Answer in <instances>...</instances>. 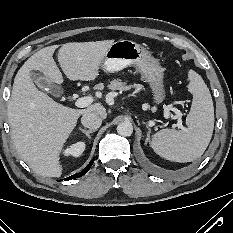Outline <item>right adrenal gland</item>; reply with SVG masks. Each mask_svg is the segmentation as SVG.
<instances>
[{
  "mask_svg": "<svg viewBox=\"0 0 233 233\" xmlns=\"http://www.w3.org/2000/svg\"><path fill=\"white\" fill-rule=\"evenodd\" d=\"M79 130H80L82 133H84V134L88 137V139H91L90 134L93 133V132H95V130H85V129H82L81 127L79 128Z\"/></svg>",
  "mask_w": 233,
  "mask_h": 233,
  "instance_id": "obj_1",
  "label": "right adrenal gland"
}]
</instances>
